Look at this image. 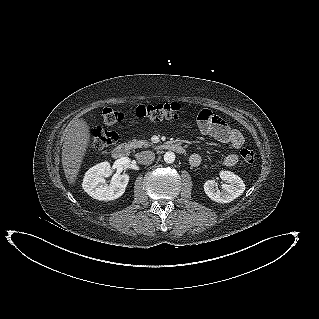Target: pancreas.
Returning a JSON list of instances; mask_svg holds the SVG:
<instances>
[{
	"instance_id": "cf45deb5",
	"label": "pancreas",
	"mask_w": 319,
	"mask_h": 319,
	"mask_svg": "<svg viewBox=\"0 0 319 319\" xmlns=\"http://www.w3.org/2000/svg\"><path fill=\"white\" fill-rule=\"evenodd\" d=\"M151 144L146 141V140H137V139H133L132 141H129L127 143V146L130 148H147L149 147Z\"/></svg>"
}]
</instances>
